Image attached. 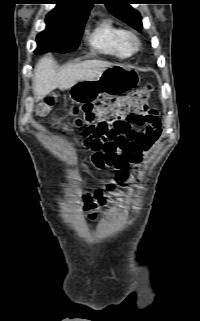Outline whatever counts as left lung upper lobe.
<instances>
[{
    "instance_id": "5c2ea615",
    "label": "left lung upper lobe",
    "mask_w": 200,
    "mask_h": 321,
    "mask_svg": "<svg viewBox=\"0 0 200 321\" xmlns=\"http://www.w3.org/2000/svg\"><path fill=\"white\" fill-rule=\"evenodd\" d=\"M108 10L117 18L126 22L131 27L140 30L142 28V18L140 13L129 4L130 0H102Z\"/></svg>"
}]
</instances>
